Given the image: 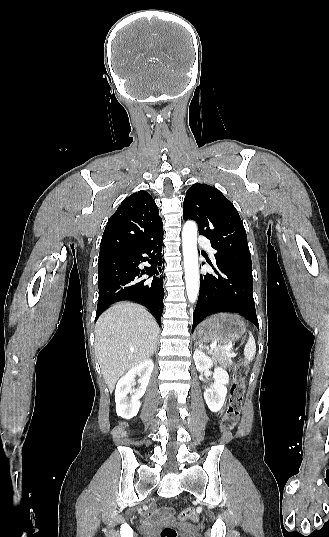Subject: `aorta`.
Returning a JSON list of instances; mask_svg holds the SVG:
<instances>
[{
    "label": "aorta",
    "mask_w": 329,
    "mask_h": 537,
    "mask_svg": "<svg viewBox=\"0 0 329 537\" xmlns=\"http://www.w3.org/2000/svg\"><path fill=\"white\" fill-rule=\"evenodd\" d=\"M185 283L188 300L195 303L199 295L200 276L197 254V225L187 221L182 230Z\"/></svg>",
    "instance_id": "obj_1"
}]
</instances>
